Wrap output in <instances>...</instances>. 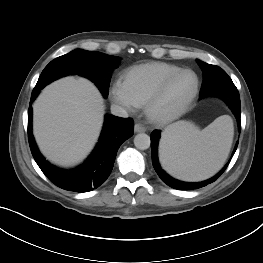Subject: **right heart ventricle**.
Segmentation results:
<instances>
[{
  "label": "right heart ventricle",
  "instance_id": "1",
  "mask_svg": "<svg viewBox=\"0 0 263 263\" xmlns=\"http://www.w3.org/2000/svg\"><path fill=\"white\" fill-rule=\"evenodd\" d=\"M179 69V66L165 62L140 64L125 71L123 83L136 104L142 106L157 86Z\"/></svg>",
  "mask_w": 263,
  "mask_h": 263
}]
</instances>
